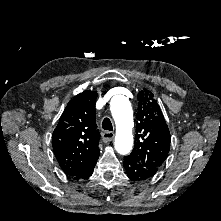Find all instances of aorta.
Returning <instances> with one entry per match:
<instances>
[{
    "instance_id": "1",
    "label": "aorta",
    "mask_w": 221,
    "mask_h": 221,
    "mask_svg": "<svg viewBox=\"0 0 221 221\" xmlns=\"http://www.w3.org/2000/svg\"><path fill=\"white\" fill-rule=\"evenodd\" d=\"M112 116L116 124L115 149L122 155L128 154L133 146V112L127 97L116 95L110 103Z\"/></svg>"
}]
</instances>
